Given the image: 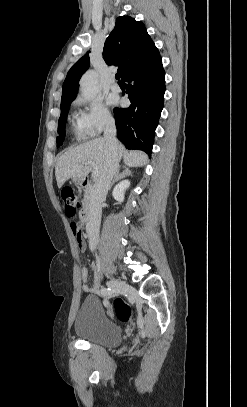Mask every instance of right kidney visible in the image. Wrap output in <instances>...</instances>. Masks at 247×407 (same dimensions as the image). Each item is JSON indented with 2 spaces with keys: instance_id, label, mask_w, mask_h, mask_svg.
Segmentation results:
<instances>
[{
  "instance_id": "1",
  "label": "right kidney",
  "mask_w": 247,
  "mask_h": 407,
  "mask_svg": "<svg viewBox=\"0 0 247 407\" xmlns=\"http://www.w3.org/2000/svg\"><path fill=\"white\" fill-rule=\"evenodd\" d=\"M130 182L128 180H124L120 182L113 190V197L115 200L118 202H123L124 201V194L125 190L129 187Z\"/></svg>"
}]
</instances>
